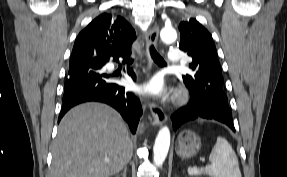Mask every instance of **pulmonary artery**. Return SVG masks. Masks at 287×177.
<instances>
[{
	"label": "pulmonary artery",
	"instance_id": "obj_1",
	"mask_svg": "<svg viewBox=\"0 0 287 177\" xmlns=\"http://www.w3.org/2000/svg\"><path fill=\"white\" fill-rule=\"evenodd\" d=\"M179 55H180V49L177 48L171 49L167 57V65L169 66L179 65L180 64Z\"/></svg>",
	"mask_w": 287,
	"mask_h": 177
}]
</instances>
